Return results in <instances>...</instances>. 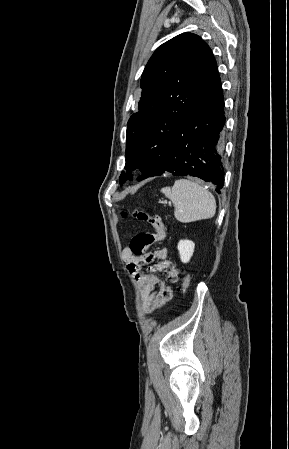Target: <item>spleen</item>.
Masks as SVG:
<instances>
[{
    "instance_id": "1",
    "label": "spleen",
    "mask_w": 289,
    "mask_h": 449,
    "mask_svg": "<svg viewBox=\"0 0 289 449\" xmlns=\"http://www.w3.org/2000/svg\"><path fill=\"white\" fill-rule=\"evenodd\" d=\"M161 192L172 201L174 216L182 223L209 219L216 213L213 194L195 182L179 179L173 187H164Z\"/></svg>"
}]
</instances>
